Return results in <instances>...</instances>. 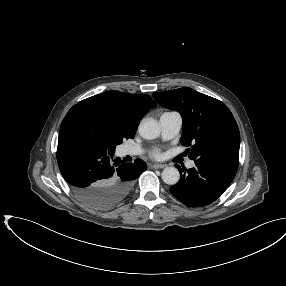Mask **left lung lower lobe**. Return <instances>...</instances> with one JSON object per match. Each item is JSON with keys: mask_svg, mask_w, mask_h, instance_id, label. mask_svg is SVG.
Listing matches in <instances>:
<instances>
[{"mask_svg": "<svg viewBox=\"0 0 286 286\" xmlns=\"http://www.w3.org/2000/svg\"><path fill=\"white\" fill-rule=\"evenodd\" d=\"M192 169L180 171L179 182L170 188L174 197L190 207H201L218 199L233 181L235 174L222 167L197 164Z\"/></svg>", "mask_w": 286, "mask_h": 286, "instance_id": "obj_1", "label": "left lung lower lobe"}]
</instances>
